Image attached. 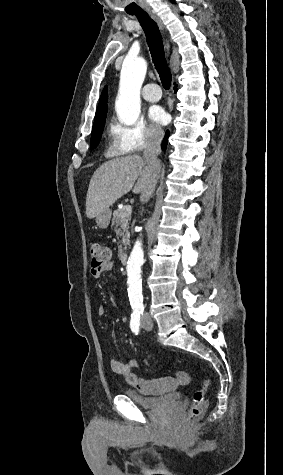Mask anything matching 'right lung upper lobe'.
<instances>
[{
	"label": "right lung upper lobe",
	"mask_w": 283,
	"mask_h": 475,
	"mask_svg": "<svg viewBox=\"0 0 283 475\" xmlns=\"http://www.w3.org/2000/svg\"><path fill=\"white\" fill-rule=\"evenodd\" d=\"M107 101H108L107 86H105L102 91L98 107L102 105H107Z\"/></svg>",
	"instance_id": "cb5924a9"
}]
</instances>
